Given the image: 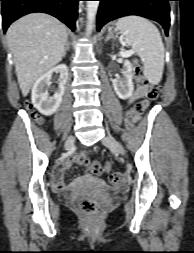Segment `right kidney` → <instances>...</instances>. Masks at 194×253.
<instances>
[{"label":"right kidney","mask_w":194,"mask_h":253,"mask_svg":"<svg viewBox=\"0 0 194 253\" xmlns=\"http://www.w3.org/2000/svg\"><path fill=\"white\" fill-rule=\"evenodd\" d=\"M53 73H59L58 88L53 96H50L47 90L49 81ZM68 79V68L65 64L58 65L47 73L42 75L32 88V104L43 115L50 116L54 114L62 102V96L65 91V85Z\"/></svg>","instance_id":"obj_1"}]
</instances>
